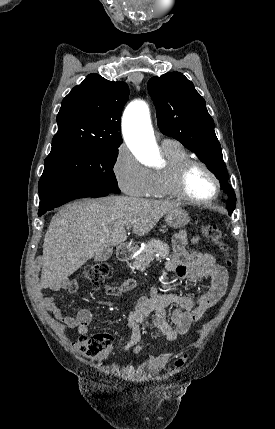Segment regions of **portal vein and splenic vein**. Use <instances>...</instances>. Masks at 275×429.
Listing matches in <instances>:
<instances>
[{
	"label": "portal vein and splenic vein",
	"instance_id": "1",
	"mask_svg": "<svg viewBox=\"0 0 275 429\" xmlns=\"http://www.w3.org/2000/svg\"><path fill=\"white\" fill-rule=\"evenodd\" d=\"M130 228H131L130 226H127V227H126V229H127V230H129Z\"/></svg>",
	"mask_w": 275,
	"mask_h": 429
}]
</instances>
